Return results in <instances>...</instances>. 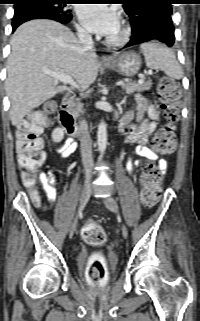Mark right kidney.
<instances>
[{
  "mask_svg": "<svg viewBox=\"0 0 200 321\" xmlns=\"http://www.w3.org/2000/svg\"><path fill=\"white\" fill-rule=\"evenodd\" d=\"M63 137H64L63 129L56 128V129L53 130V132H52V140L55 143H58V142L62 141Z\"/></svg>",
  "mask_w": 200,
  "mask_h": 321,
  "instance_id": "1",
  "label": "right kidney"
}]
</instances>
